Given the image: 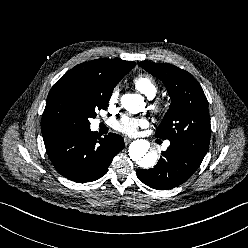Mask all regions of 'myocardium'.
<instances>
[{
	"mask_svg": "<svg viewBox=\"0 0 248 248\" xmlns=\"http://www.w3.org/2000/svg\"><path fill=\"white\" fill-rule=\"evenodd\" d=\"M151 109L155 113H161L163 111V105L160 101H155L151 105Z\"/></svg>",
	"mask_w": 248,
	"mask_h": 248,
	"instance_id": "f54148a6",
	"label": "myocardium"
}]
</instances>
